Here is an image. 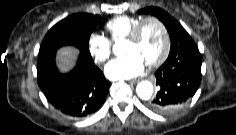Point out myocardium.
<instances>
[{
  "instance_id": "f54148a6",
  "label": "myocardium",
  "mask_w": 236,
  "mask_h": 135,
  "mask_svg": "<svg viewBox=\"0 0 236 135\" xmlns=\"http://www.w3.org/2000/svg\"><path fill=\"white\" fill-rule=\"evenodd\" d=\"M149 21L155 22L160 27V29L163 33V38H164L163 47H162V50H161V53L159 54V56L155 60L146 63L149 67H156V66L160 65L165 60V58L169 52V48H170L169 32H168L166 25L164 24V22L161 19H159L156 16L144 17L137 25H135V27L132 29L131 33L125 39V41L129 42V43H136L140 37L141 31H142L144 25Z\"/></svg>"
}]
</instances>
